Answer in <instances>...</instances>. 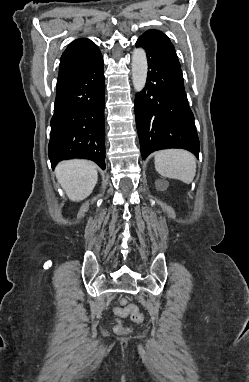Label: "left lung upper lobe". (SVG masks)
I'll return each mask as SVG.
<instances>
[{"label": "left lung upper lobe", "instance_id": "5c2ea615", "mask_svg": "<svg viewBox=\"0 0 249 382\" xmlns=\"http://www.w3.org/2000/svg\"><path fill=\"white\" fill-rule=\"evenodd\" d=\"M141 38L180 65L174 46L164 33L158 30H148Z\"/></svg>", "mask_w": 249, "mask_h": 382}]
</instances>
